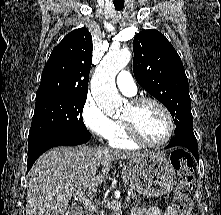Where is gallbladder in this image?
Returning <instances> with one entry per match:
<instances>
[{"label":"gallbladder","mask_w":221,"mask_h":215,"mask_svg":"<svg viewBox=\"0 0 221 215\" xmlns=\"http://www.w3.org/2000/svg\"><path fill=\"white\" fill-rule=\"evenodd\" d=\"M69 215H81V209L77 206H71L69 208Z\"/></svg>","instance_id":"obj_1"}]
</instances>
